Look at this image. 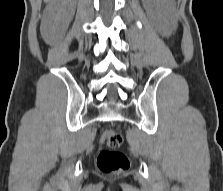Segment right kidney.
<instances>
[{
    "label": "right kidney",
    "mask_w": 223,
    "mask_h": 191,
    "mask_svg": "<svg viewBox=\"0 0 223 191\" xmlns=\"http://www.w3.org/2000/svg\"><path fill=\"white\" fill-rule=\"evenodd\" d=\"M76 0H53L45 9L41 24L44 40L52 43L58 31H66L74 16Z\"/></svg>",
    "instance_id": "1"
}]
</instances>
